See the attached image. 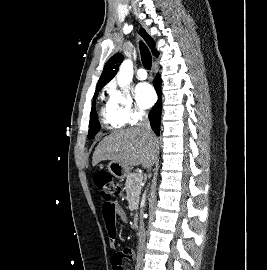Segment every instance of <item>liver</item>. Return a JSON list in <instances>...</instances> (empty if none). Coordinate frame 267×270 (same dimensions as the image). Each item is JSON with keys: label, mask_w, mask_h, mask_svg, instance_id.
I'll return each instance as SVG.
<instances>
[{"label": "liver", "mask_w": 267, "mask_h": 270, "mask_svg": "<svg viewBox=\"0 0 267 270\" xmlns=\"http://www.w3.org/2000/svg\"><path fill=\"white\" fill-rule=\"evenodd\" d=\"M158 148L157 137L140 127L119 130L106 136L98 144L92 165L111 160L126 167L141 164L144 168H150L156 161Z\"/></svg>", "instance_id": "1"}]
</instances>
